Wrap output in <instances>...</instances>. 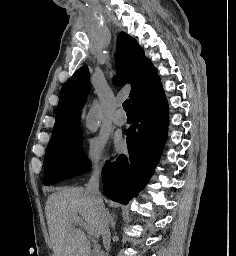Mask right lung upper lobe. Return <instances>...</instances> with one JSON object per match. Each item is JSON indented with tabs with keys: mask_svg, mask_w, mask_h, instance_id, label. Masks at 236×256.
I'll use <instances>...</instances> for the list:
<instances>
[{
	"mask_svg": "<svg viewBox=\"0 0 236 256\" xmlns=\"http://www.w3.org/2000/svg\"><path fill=\"white\" fill-rule=\"evenodd\" d=\"M116 62L120 71L115 78L116 83L131 84L129 97L132 105L161 83L155 67L145 57L144 50L125 32L118 35ZM88 91L89 70L87 66H83L61 90L51 140L66 136L79 127V114Z\"/></svg>",
	"mask_w": 236,
	"mask_h": 256,
	"instance_id": "obj_1",
	"label": "right lung upper lobe"
}]
</instances>
